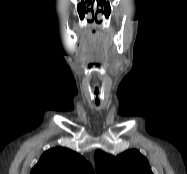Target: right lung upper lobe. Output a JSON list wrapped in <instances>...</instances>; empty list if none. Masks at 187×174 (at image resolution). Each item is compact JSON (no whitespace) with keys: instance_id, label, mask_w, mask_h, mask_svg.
I'll return each mask as SVG.
<instances>
[{"instance_id":"1","label":"right lung upper lobe","mask_w":187,"mask_h":174,"mask_svg":"<svg viewBox=\"0 0 187 174\" xmlns=\"http://www.w3.org/2000/svg\"><path fill=\"white\" fill-rule=\"evenodd\" d=\"M31 174H94L91 164L76 152L56 147L46 151Z\"/></svg>"}]
</instances>
